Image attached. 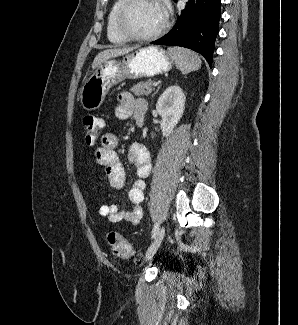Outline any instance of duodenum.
Masks as SVG:
<instances>
[{
    "label": "duodenum",
    "instance_id": "1",
    "mask_svg": "<svg viewBox=\"0 0 298 325\" xmlns=\"http://www.w3.org/2000/svg\"><path fill=\"white\" fill-rule=\"evenodd\" d=\"M147 109H148L147 104L144 102H140L136 105L134 109V115L138 124H141L143 122L144 117L147 113Z\"/></svg>",
    "mask_w": 298,
    "mask_h": 325
}]
</instances>
